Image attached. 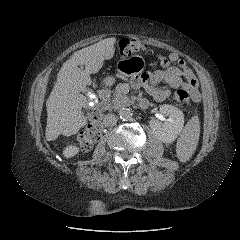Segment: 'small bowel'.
<instances>
[{"label": "small bowel", "mask_w": 240, "mask_h": 240, "mask_svg": "<svg viewBox=\"0 0 240 240\" xmlns=\"http://www.w3.org/2000/svg\"><path fill=\"white\" fill-rule=\"evenodd\" d=\"M158 60L163 69L156 70L150 75L143 74L141 79H135L132 82L134 88L143 86L156 101L161 102L171 94L169 88L159 86V83H166L173 89L183 87L193 95L194 100L199 99L196 77L183 60L176 54H170L168 57L159 56ZM141 101L148 105L146 99Z\"/></svg>", "instance_id": "c3829d8e"}]
</instances>
